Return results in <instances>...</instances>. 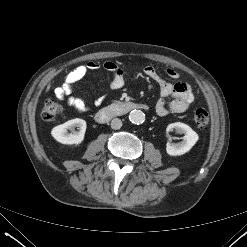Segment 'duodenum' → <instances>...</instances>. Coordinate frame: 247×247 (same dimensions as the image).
Here are the masks:
<instances>
[{
    "mask_svg": "<svg viewBox=\"0 0 247 247\" xmlns=\"http://www.w3.org/2000/svg\"><path fill=\"white\" fill-rule=\"evenodd\" d=\"M135 109L147 110L148 106L134 102H116L101 108L95 118L99 123H106L114 117L125 115Z\"/></svg>",
    "mask_w": 247,
    "mask_h": 247,
    "instance_id": "duodenum-1",
    "label": "duodenum"
}]
</instances>
